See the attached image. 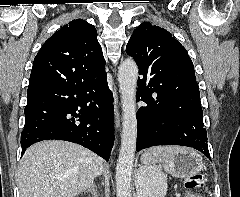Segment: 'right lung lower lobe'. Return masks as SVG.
I'll use <instances>...</instances> for the list:
<instances>
[{
  "label": "right lung lower lobe",
  "mask_w": 240,
  "mask_h": 197,
  "mask_svg": "<svg viewBox=\"0 0 240 197\" xmlns=\"http://www.w3.org/2000/svg\"><path fill=\"white\" fill-rule=\"evenodd\" d=\"M112 102L106 74L28 91L21 155L36 142L57 139L80 144L108 161L114 143Z\"/></svg>",
  "instance_id": "1"
}]
</instances>
